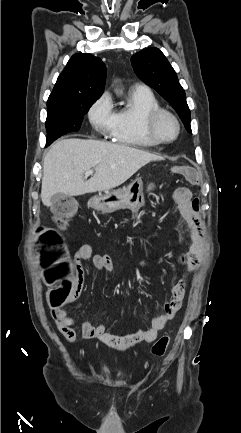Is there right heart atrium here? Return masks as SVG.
<instances>
[{"label": "right heart atrium", "mask_w": 241, "mask_h": 433, "mask_svg": "<svg viewBox=\"0 0 241 433\" xmlns=\"http://www.w3.org/2000/svg\"><path fill=\"white\" fill-rule=\"evenodd\" d=\"M115 113L111 99L108 95H103L98 99L88 112L91 125L101 133H110L113 128Z\"/></svg>", "instance_id": "obj_1"}]
</instances>
